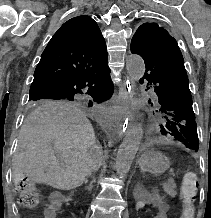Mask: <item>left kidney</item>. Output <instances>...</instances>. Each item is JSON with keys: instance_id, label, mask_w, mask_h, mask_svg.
Instances as JSON below:
<instances>
[{"instance_id": "1", "label": "left kidney", "mask_w": 211, "mask_h": 218, "mask_svg": "<svg viewBox=\"0 0 211 218\" xmlns=\"http://www.w3.org/2000/svg\"><path fill=\"white\" fill-rule=\"evenodd\" d=\"M147 203L150 207H154L153 218H164V215H169L172 212V207H167L166 198H141L140 202H136V210H147Z\"/></svg>"}]
</instances>
